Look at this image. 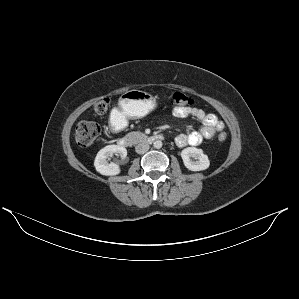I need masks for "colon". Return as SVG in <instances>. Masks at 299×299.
<instances>
[{"mask_svg": "<svg viewBox=\"0 0 299 299\" xmlns=\"http://www.w3.org/2000/svg\"><path fill=\"white\" fill-rule=\"evenodd\" d=\"M171 103L176 107H189L192 104V100L189 96L182 92H172L170 95ZM110 100L108 98H103L97 101L92 110L98 116H103L106 114L109 108ZM100 133V127L96 122L93 121H81L77 124L75 130V137L77 142L83 146H89L93 144ZM220 141H225L227 139V134L221 132L218 135Z\"/></svg>", "mask_w": 299, "mask_h": 299, "instance_id": "5ec220e1", "label": "colon"}]
</instances>
